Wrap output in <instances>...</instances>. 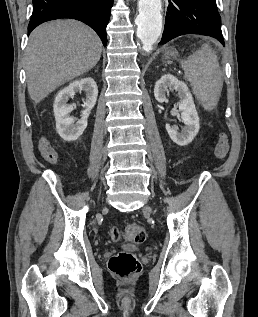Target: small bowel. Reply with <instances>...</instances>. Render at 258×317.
Here are the masks:
<instances>
[{"instance_id": "small-bowel-1", "label": "small bowel", "mask_w": 258, "mask_h": 317, "mask_svg": "<svg viewBox=\"0 0 258 317\" xmlns=\"http://www.w3.org/2000/svg\"><path fill=\"white\" fill-rule=\"evenodd\" d=\"M38 147L42 156H44L45 152L56 153L51 141L48 138H45V137L40 138Z\"/></svg>"}]
</instances>
